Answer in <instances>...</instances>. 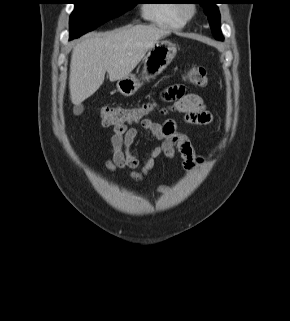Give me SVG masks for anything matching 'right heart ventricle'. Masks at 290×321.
<instances>
[{
  "label": "right heart ventricle",
  "instance_id": "right-heart-ventricle-1",
  "mask_svg": "<svg viewBox=\"0 0 290 321\" xmlns=\"http://www.w3.org/2000/svg\"><path fill=\"white\" fill-rule=\"evenodd\" d=\"M175 0H157L143 7V17L154 24L179 29L186 21L179 14V5Z\"/></svg>",
  "mask_w": 290,
  "mask_h": 321
}]
</instances>
